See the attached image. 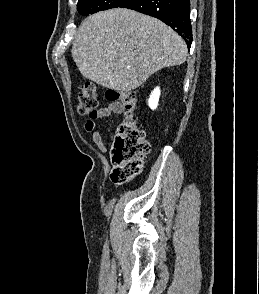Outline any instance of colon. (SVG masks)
Listing matches in <instances>:
<instances>
[{
    "label": "colon",
    "mask_w": 259,
    "mask_h": 294,
    "mask_svg": "<svg viewBox=\"0 0 259 294\" xmlns=\"http://www.w3.org/2000/svg\"><path fill=\"white\" fill-rule=\"evenodd\" d=\"M106 98L120 102L125 109V117L115 136L112 161L114 164L111 179L114 182H129L142 170L144 159L150 152V143L145 132L134 119L137 97L132 91L109 90ZM98 107L96 87L87 81L82 84L77 98V111L81 115L92 116Z\"/></svg>",
    "instance_id": "1"
}]
</instances>
